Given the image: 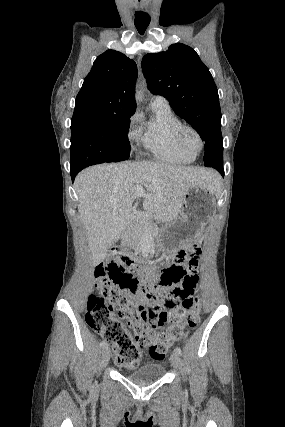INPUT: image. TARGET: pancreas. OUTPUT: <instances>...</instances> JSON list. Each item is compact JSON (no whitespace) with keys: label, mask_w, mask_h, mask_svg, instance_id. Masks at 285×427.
Here are the masks:
<instances>
[{"label":"pancreas","mask_w":285,"mask_h":427,"mask_svg":"<svg viewBox=\"0 0 285 427\" xmlns=\"http://www.w3.org/2000/svg\"><path fill=\"white\" fill-rule=\"evenodd\" d=\"M149 217L150 214H148L146 218H138L137 221L133 223L131 229L126 231V235L123 238L124 245L128 247L136 246L147 236L154 234L155 229L149 226Z\"/></svg>","instance_id":"obj_1"}]
</instances>
